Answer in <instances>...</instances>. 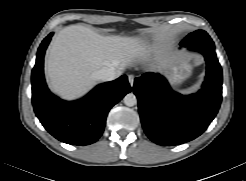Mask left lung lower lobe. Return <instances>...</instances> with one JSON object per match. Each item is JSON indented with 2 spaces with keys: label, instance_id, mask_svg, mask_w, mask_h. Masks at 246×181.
I'll list each match as a JSON object with an SVG mask.
<instances>
[{
  "label": "left lung lower lobe",
  "instance_id": "1",
  "mask_svg": "<svg viewBox=\"0 0 246 181\" xmlns=\"http://www.w3.org/2000/svg\"><path fill=\"white\" fill-rule=\"evenodd\" d=\"M181 47L202 53L206 60L205 81L196 94H178L163 76L151 72L134 82L142 126L158 145H179L200 136L216 116L222 100V69L212 39Z\"/></svg>",
  "mask_w": 246,
  "mask_h": 181
}]
</instances>
